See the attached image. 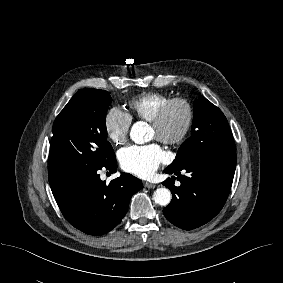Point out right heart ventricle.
I'll return each mask as SVG.
<instances>
[{"instance_id": "1", "label": "right heart ventricle", "mask_w": 283, "mask_h": 283, "mask_svg": "<svg viewBox=\"0 0 283 283\" xmlns=\"http://www.w3.org/2000/svg\"><path fill=\"white\" fill-rule=\"evenodd\" d=\"M170 98L161 92H144L131 98L127 104L130 118L151 121L160 106Z\"/></svg>"}]
</instances>
